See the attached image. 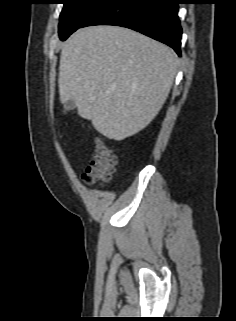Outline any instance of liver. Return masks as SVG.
I'll return each mask as SVG.
<instances>
[{
	"label": "liver",
	"mask_w": 236,
	"mask_h": 321,
	"mask_svg": "<svg viewBox=\"0 0 236 321\" xmlns=\"http://www.w3.org/2000/svg\"><path fill=\"white\" fill-rule=\"evenodd\" d=\"M178 68L167 45L128 28L77 30L61 51L59 96L116 141L145 128L165 103Z\"/></svg>",
	"instance_id": "1"
}]
</instances>
